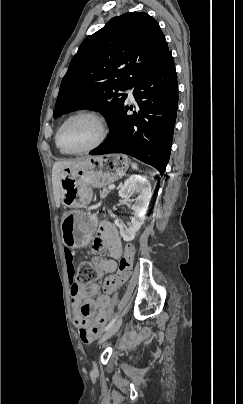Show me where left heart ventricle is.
Listing matches in <instances>:
<instances>
[{
  "mask_svg": "<svg viewBox=\"0 0 243 404\" xmlns=\"http://www.w3.org/2000/svg\"><path fill=\"white\" fill-rule=\"evenodd\" d=\"M101 127L97 119L82 115L69 120L61 131L60 140L65 148L84 149L97 142Z\"/></svg>",
  "mask_w": 243,
  "mask_h": 404,
  "instance_id": "1",
  "label": "left heart ventricle"
}]
</instances>
